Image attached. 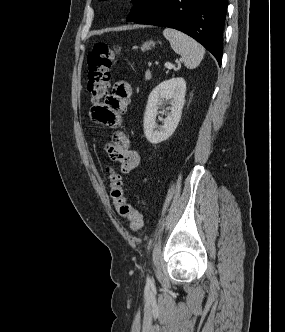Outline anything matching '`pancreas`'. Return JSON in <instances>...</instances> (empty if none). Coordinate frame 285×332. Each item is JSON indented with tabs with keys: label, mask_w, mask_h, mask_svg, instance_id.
<instances>
[{
	"label": "pancreas",
	"mask_w": 285,
	"mask_h": 332,
	"mask_svg": "<svg viewBox=\"0 0 285 332\" xmlns=\"http://www.w3.org/2000/svg\"><path fill=\"white\" fill-rule=\"evenodd\" d=\"M151 78V72L150 71H146L145 73V79L149 80Z\"/></svg>",
	"instance_id": "cf45deb5"
}]
</instances>
